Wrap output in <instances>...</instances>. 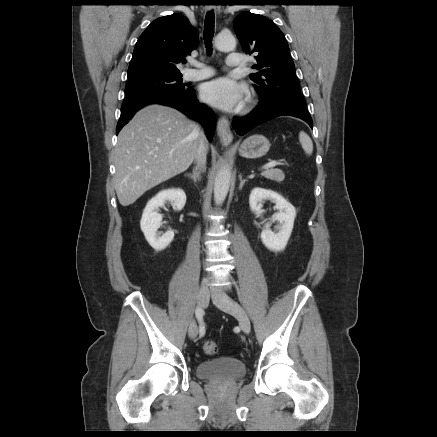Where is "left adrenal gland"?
I'll list each match as a JSON object with an SVG mask.
<instances>
[{"label": "left adrenal gland", "instance_id": "left-adrenal-gland-1", "mask_svg": "<svg viewBox=\"0 0 437 437\" xmlns=\"http://www.w3.org/2000/svg\"><path fill=\"white\" fill-rule=\"evenodd\" d=\"M239 180H240L239 189L241 190L242 187H243V185H244V183H245L247 180H246V179H242V176H241V175H239Z\"/></svg>", "mask_w": 437, "mask_h": 437}]
</instances>
